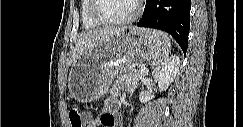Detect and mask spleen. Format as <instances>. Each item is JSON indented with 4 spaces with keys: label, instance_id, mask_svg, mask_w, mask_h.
Returning <instances> with one entry per match:
<instances>
[{
    "label": "spleen",
    "instance_id": "spleen-1",
    "mask_svg": "<svg viewBox=\"0 0 243 127\" xmlns=\"http://www.w3.org/2000/svg\"><path fill=\"white\" fill-rule=\"evenodd\" d=\"M151 39L154 42V50L150 56V63L158 67L168 59L171 43L168 35L163 32L154 31Z\"/></svg>",
    "mask_w": 243,
    "mask_h": 127
}]
</instances>
